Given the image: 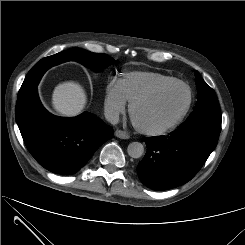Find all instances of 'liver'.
I'll use <instances>...</instances> for the list:
<instances>
[{"instance_id": "liver-1", "label": "liver", "mask_w": 245, "mask_h": 245, "mask_svg": "<svg viewBox=\"0 0 245 245\" xmlns=\"http://www.w3.org/2000/svg\"><path fill=\"white\" fill-rule=\"evenodd\" d=\"M86 103L85 90L78 82L60 83L53 91L52 106L62 116H77L83 111Z\"/></svg>"}]
</instances>
